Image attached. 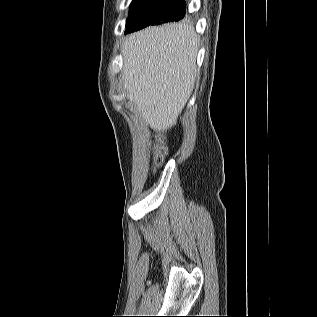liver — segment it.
Masks as SVG:
<instances>
[{
    "label": "liver",
    "mask_w": 317,
    "mask_h": 317,
    "mask_svg": "<svg viewBox=\"0 0 317 317\" xmlns=\"http://www.w3.org/2000/svg\"><path fill=\"white\" fill-rule=\"evenodd\" d=\"M193 26L173 23L130 34L123 43V85L144 121L157 131L174 126L197 74Z\"/></svg>",
    "instance_id": "obj_1"
}]
</instances>
